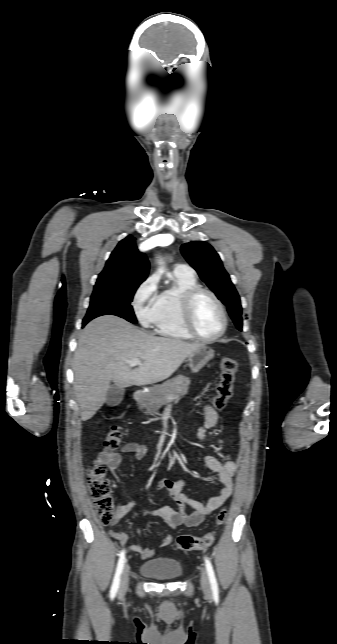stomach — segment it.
<instances>
[{
    "label": "stomach",
    "instance_id": "obj_1",
    "mask_svg": "<svg viewBox=\"0 0 337 644\" xmlns=\"http://www.w3.org/2000/svg\"><path fill=\"white\" fill-rule=\"evenodd\" d=\"M214 357V350L206 345L191 354L187 361L192 372L201 370Z\"/></svg>",
    "mask_w": 337,
    "mask_h": 644
}]
</instances>
